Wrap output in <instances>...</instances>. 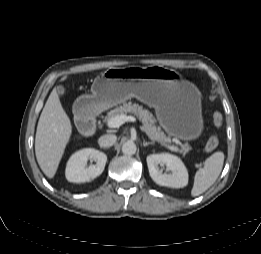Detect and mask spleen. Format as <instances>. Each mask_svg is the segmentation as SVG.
Here are the masks:
<instances>
[{"mask_svg": "<svg viewBox=\"0 0 261 254\" xmlns=\"http://www.w3.org/2000/svg\"><path fill=\"white\" fill-rule=\"evenodd\" d=\"M223 163V152H215L205 160L204 167L199 169L194 177V184L191 190L193 197L204 193L215 183L222 171Z\"/></svg>", "mask_w": 261, "mask_h": 254, "instance_id": "1", "label": "spleen"}]
</instances>
